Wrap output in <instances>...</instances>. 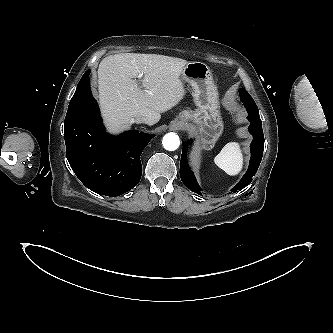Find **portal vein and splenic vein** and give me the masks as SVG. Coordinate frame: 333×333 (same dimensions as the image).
Masks as SVG:
<instances>
[{"label": "portal vein and splenic vein", "mask_w": 333, "mask_h": 333, "mask_svg": "<svg viewBox=\"0 0 333 333\" xmlns=\"http://www.w3.org/2000/svg\"><path fill=\"white\" fill-rule=\"evenodd\" d=\"M143 72H141L140 74H139V76H138V78H141L142 76H143Z\"/></svg>", "instance_id": "1"}]
</instances>
